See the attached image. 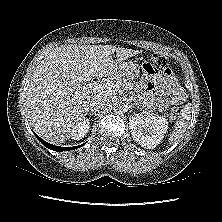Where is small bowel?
I'll return each instance as SVG.
<instances>
[{
    "mask_svg": "<svg viewBox=\"0 0 222 222\" xmlns=\"http://www.w3.org/2000/svg\"><path fill=\"white\" fill-rule=\"evenodd\" d=\"M141 88L146 93V105L149 109L157 107L164 110L169 104L183 98V90L170 70L164 76L158 73L148 74Z\"/></svg>",
    "mask_w": 222,
    "mask_h": 222,
    "instance_id": "c3829d8e",
    "label": "small bowel"
}]
</instances>
